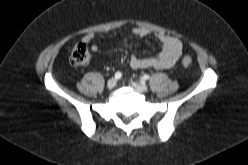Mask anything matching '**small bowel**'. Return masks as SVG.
<instances>
[{"label":"small bowel","mask_w":248,"mask_h":165,"mask_svg":"<svg viewBox=\"0 0 248 165\" xmlns=\"http://www.w3.org/2000/svg\"><path fill=\"white\" fill-rule=\"evenodd\" d=\"M151 34V31L143 28L136 27L132 30V36L135 38H144ZM157 39L161 43V50L155 57L140 58L136 55H131L129 58V66L133 70H142L148 68L154 69H168L175 65L177 60L180 58L182 53V44L176 37L158 33L156 34ZM94 39V34H86L82 38V43L89 45ZM126 45H130L129 39L125 40ZM92 50H98V45H93Z\"/></svg>","instance_id":"obj_1"}]
</instances>
